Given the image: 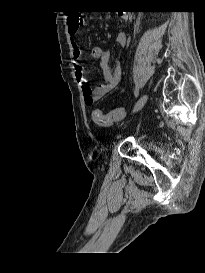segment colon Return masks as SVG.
<instances>
[{
	"mask_svg": "<svg viewBox=\"0 0 205 273\" xmlns=\"http://www.w3.org/2000/svg\"><path fill=\"white\" fill-rule=\"evenodd\" d=\"M79 26L82 24L80 17L75 19ZM127 115V110L125 108H117L108 113L102 112L100 109L93 110L92 117L96 124L100 126H110L113 123L123 120Z\"/></svg>",
	"mask_w": 205,
	"mask_h": 273,
	"instance_id": "5ec220e1",
	"label": "colon"
}]
</instances>
